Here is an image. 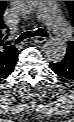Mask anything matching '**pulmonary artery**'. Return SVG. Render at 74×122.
<instances>
[{
  "label": "pulmonary artery",
  "mask_w": 74,
  "mask_h": 122,
  "mask_svg": "<svg viewBox=\"0 0 74 122\" xmlns=\"http://www.w3.org/2000/svg\"><path fill=\"white\" fill-rule=\"evenodd\" d=\"M38 17L49 25L59 40L65 41L71 37V28L60 15L56 1H41Z\"/></svg>",
  "instance_id": "obj_1"
}]
</instances>
